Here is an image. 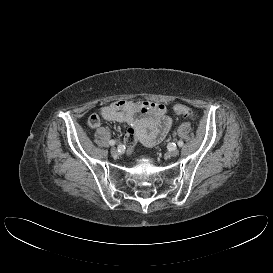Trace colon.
<instances>
[{
  "instance_id": "5ec220e1",
  "label": "colon",
  "mask_w": 273,
  "mask_h": 273,
  "mask_svg": "<svg viewBox=\"0 0 273 273\" xmlns=\"http://www.w3.org/2000/svg\"><path fill=\"white\" fill-rule=\"evenodd\" d=\"M174 112L177 115H180V116H182L184 118H188V119H194L195 118L194 110L191 107L186 106V105H182V104L176 105L174 107Z\"/></svg>"
}]
</instances>
